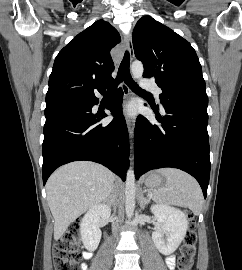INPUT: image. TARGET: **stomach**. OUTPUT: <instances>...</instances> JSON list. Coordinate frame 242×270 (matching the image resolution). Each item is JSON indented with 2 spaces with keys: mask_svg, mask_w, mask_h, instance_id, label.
I'll use <instances>...</instances> for the list:
<instances>
[{
  "mask_svg": "<svg viewBox=\"0 0 242 270\" xmlns=\"http://www.w3.org/2000/svg\"><path fill=\"white\" fill-rule=\"evenodd\" d=\"M144 183L149 191L152 192L163 184V177L157 172H152L145 178Z\"/></svg>",
  "mask_w": 242,
  "mask_h": 270,
  "instance_id": "obj_1",
  "label": "stomach"
}]
</instances>
